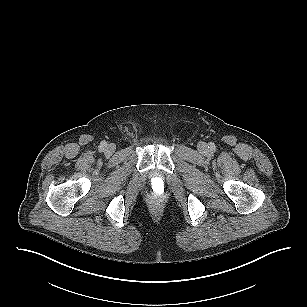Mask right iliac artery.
<instances>
[{
    "label": "right iliac artery",
    "instance_id": "82829eb1",
    "mask_svg": "<svg viewBox=\"0 0 307 307\" xmlns=\"http://www.w3.org/2000/svg\"><path fill=\"white\" fill-rule=\"evenodd\" d=\"M107 145V143L105 141H102L100 144V150H103L105 148V146Z\"/></svg>",
    "mask_w": 307,
    "mask_h": 307
}]
</instances>
